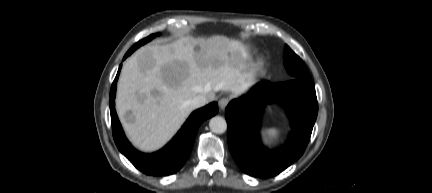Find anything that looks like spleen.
<instances>
[{"instance_id": "1", "label": "spleen", "mask_w": 432, "mask_h": 193, "mask_svg": "<svg viewBox=\"0 0 432 193\" xmlns=\"http://www.w3.org/2000/svg\"><path fill=\"white\" fill-rule=\"evenodd\" d=\"M261 135L265 144L272 142L279 136V130L276 128L262 129Z\"/></svg>"}]
</instances>
